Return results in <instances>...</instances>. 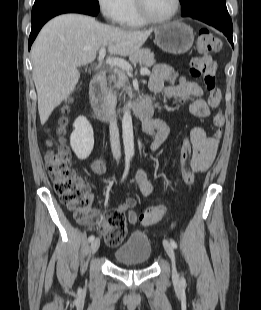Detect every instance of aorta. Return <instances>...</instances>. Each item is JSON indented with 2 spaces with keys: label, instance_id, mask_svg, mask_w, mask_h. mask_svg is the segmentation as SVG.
I'll return each mask as SVG.
<instances>
[{
  "label": "aorta",
  "instance_id": "1",
  "mask_svg": "<svg viewBox=\"0 0 261 310\" xmlns=\"http://www.w3.org/2000/svg\"><path fill=\"white\" fill-rule=\"evenodd\" d=\"M122 138H123L125 155L133 156L134 136H133L132 116L129 111H125L122 118Z\"/></svg>",
  "mask_w": 261,
  "mask_h": 310
}]
</instances>
